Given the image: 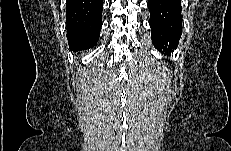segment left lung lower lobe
I'll return each mask as SVG.
<instances>
[{
    "label": "left lung lower lobe",
    "mask_w": 231,
    "mask_h": 151,
    "mask_svg": "<svg viewBox=\"0 0 231 151\" xmlns=\"http://www.w3.org/2000/svg\"><path fill=\"white\" fill-rule=\"evenodd\" d=\"M148 8L155 48L164 52L176 49L182 34L181 1L150 0Z\"/></svg>",
    "instance_id": "1"
}]
</instances>
